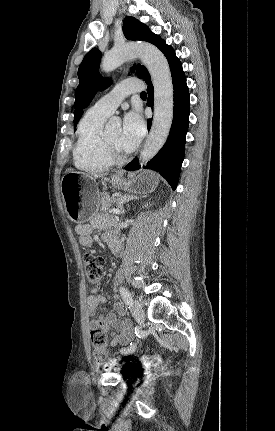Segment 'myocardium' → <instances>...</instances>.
<instances>
[{
  "label": "myocardium",
  "mask_w": 275,
  "mask_h": 431,
  "mask_svg": "<svg viewBox=\"0 0 275 431\" xmlns=\"http://www.w3.org/2000/svg\"><path fill=\"white\" fill-rule=\"evenodd\" d=\"M102 143L104 154L111 163L121 164L128 159V155L126 153L118 152L114 148V146L108 141L106 133L102 134Z\"/></svg>",
  "instance_id": "myocardium-1"
}]
</instances>
